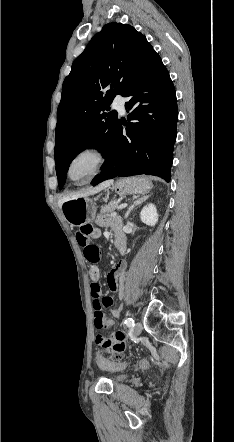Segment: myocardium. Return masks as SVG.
Returning <instances> with one entry per match:
<instances>
[{
	"label": "myocardium",
	"instance_id": "myocardium-1",
	"mask_svg": "<svg viewBox=\"0 0 234 442\" xmlns=\"http://www.w3.org/2000/svg\"><path fill=\"white\" fill-rule=\"evenodd\" d=\"M83 153L93 154L96 158V163H95L93 171L91 172V174L87 178H85L81 181H76L71 177L70 169H71L72 162L79 155H81ZM107 161H108V152H107V149L102 144H100V143L85 144V145L79 147L69 158V160L67 162V166H66L67 177L74 184H78V185L86 184L102 171V169L105 167Z\"/></svg>",
	"mask_w": 234,
	"mask_h": 442
}]
</instances>
